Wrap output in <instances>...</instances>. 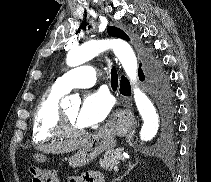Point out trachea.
<instances>
[{"instance_id":"obj_1","label":"trachea","mask_w":211,"mask_h":182,"mask_svg":"<svg viewBox=\"0 0 211 182\" xmlns=\"http://www.w3.org/2000/svg\"><path fill=\"white\" fill-rule=\"evenodd\" d=\"M111 86L112 87L118 86V75H117L115 67L111 68Z\"/></svg>"}]
</instances>
